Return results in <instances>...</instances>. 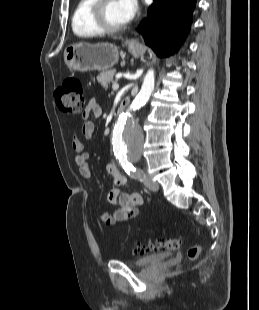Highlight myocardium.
I'll list each match as a JSON object with an SVG mask.
<instances>
[{
    "label": "myocardium",
    "mask_w": 259,
    "mask_h": 310,
    "mask_svg": "<svg viewBox=\"0 0 259 310\" xmlns=\"http://www.w3.org/2000/svg\"><path fill=\"white\" fill-rule=\"evenodd\" d=\"M109 1L110 0H95L90 9V19L100 33L114 34L124 30L127 27V24L110 26L106 23L104 19V10Z\"/></svg>",
    "instance_id": "1"
}]
</instances>
